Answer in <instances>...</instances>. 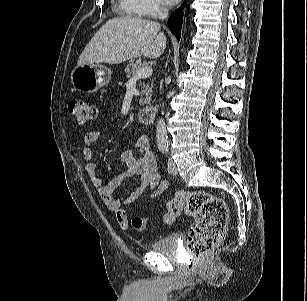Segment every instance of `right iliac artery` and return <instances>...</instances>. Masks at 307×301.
I'll list each match as a JSON object with an SVG mask.
<instances>
[{"label": "right iliac artery", "mask_w": 307, "mask_h": 301, "mask_svg": "<svg viewBox=\"0 0 307 301\" xmlns=\"http://www.w3.org/2000/svg\"><path fill=\"white\" fill-rule=\"evenodd\" d=\"M160 150H161L162 152H164V151L166 150V148H165V147H162V148H160Z\"/></svg>", "instance_id": "82829eb1"}]
</instances>
